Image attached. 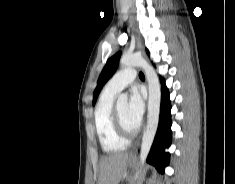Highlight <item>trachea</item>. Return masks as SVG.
<instances>
[{"instance_id":"trachea-1","label":"trachea","mask_w":235,"mask_h":184,"mask_svg":"<svg viewBox=\"0 0 235 184\" xmlns=\"http://www.w3.org/2000/svg\"><path fill=\"white\" fill-rule=\"evenodd\" d=\"M139 77H140V79H144L145 78L144 74L142 72H139Z\"/></svg>"}]
</instances>
